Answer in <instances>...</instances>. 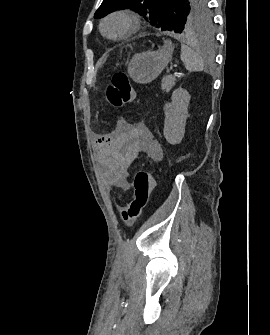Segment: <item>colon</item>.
I'll list each match as a JSON object with an SVG mask.
<instances>
[{
  "instance_id": "5ec220e1",
  "label": "colon",
  "mask_w": 270,
  "mask_h": 335,
  "mask_svg": "<svg viewBox=\"0 0 270 335\" xmlns=\"http://www.w3.org/2000/svg\"><path fill=\"white\" fill-rule=\"evenodd\" d=\"M134 99V90L125 72H116L111 78L110 100L116 106L129 104ZM155 185L153 174L145 169H139L134 176V190L131 201L122 206V217L127 223H132L142 217L144 209L150 201Z\"/></svg>"
}]
</instances>
